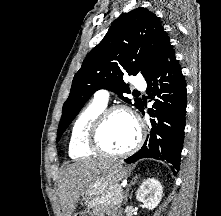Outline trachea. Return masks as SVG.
Returning <instances> with one entry per match:
<instances>
[{"instance_id": "1", "label": "trachea", "mask_w": 221, "mask_h": 216, "mask_svg": "<svg viewBox=\"0 0 221 216\" xmlns=\"http://www.w3.org/2000/svg\"><path fill=\"white\" fill-rule=\"evenodd\" d=\"M133 94H139V91H134Z\"/></svg>"}]
</instances>
